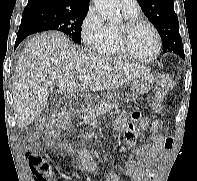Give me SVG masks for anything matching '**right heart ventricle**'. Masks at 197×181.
<instances>
[{
  "instance_id": "obj_1",
  "label": "right heart ventricle",
  "mask_w": 197,
  "mask_h": 181,
  "mask_svg": "<svg viewBox=\"0 0 197 181\" xmlns=\"http://www.w3.org/2000/svg\"><path fill=\"white\" fill-rule=\"evenodd\" d=\"M126 18H133L138 16L137 12H124L122 11ZM98 52L102 56L106 57H116V58H126L127 56L119 47L117 41V28L108 26V33L104 44L98 49Z\"/></svg>"
}]
</instances>
